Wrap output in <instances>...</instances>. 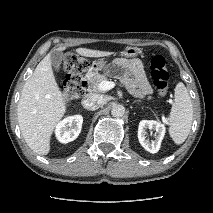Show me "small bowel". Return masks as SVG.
Segmentation results:
<instances>
[{"label":"small bowel","mask_w":213,"mask_h":213,"mask_svg":"<svg viewBox=\"0 0 213 213\" xmlns=\"http://www.w3.org/2000/svg\"><path fill=\"white\" fill-rule=\"evenodd\" d=\"M114 72L121 75L123 85L133 94L145 97L151 93L142 63L138 59H116Z\"/></svg>","instance_id":"1"}]
</instances>
